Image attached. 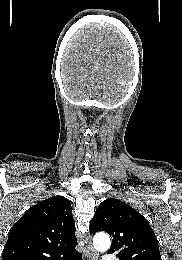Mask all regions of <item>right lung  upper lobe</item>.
<instances>
[{
    "mask_svg": "<svg viewBox=\"0 0 182 260\" xmlns=\"http://www.w3.org/2000/svg\"><path fill=\"white\" fill-rule=\"evenodd\" d=\"M70 201L53 196L31 207L11 228L2 260H63L76 253Z\"/></svg>",
    "mask_w": 182,
    "mask_h": 260,
    "instance_id": "1",
    "label": "right lung upper lobe"
}]
</instances>
